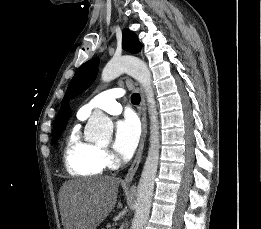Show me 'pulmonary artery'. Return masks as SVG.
I'll return each mask as SVG.
<instances>
[{
	"label": "pulmonary artery",
	"instance_id": "e3ab8cb5",
	"mask_svg": "<svg viewBox=\"0 0 261 229\" xmlns=\"http://www.w3.org/2000/svg\"><path fill=\"white\" fill-rule=\"evenodd\" d=\"M125 90L121 88L108 89L94 95L87 103L82 106L85 114H79L81 118H86L94 109H101L111 115H118L121 112V106L116 99L124 96Z\"/></svg>",
	"mask_w": 261,
	"mask_h": 229
}]
</instances>
